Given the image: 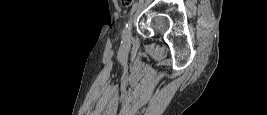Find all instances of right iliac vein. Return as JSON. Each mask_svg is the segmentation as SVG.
I'll use <instances>...</instances> for the list:
<instances>
[{
    "label": "right iliac vein",
    "mask_w": 267,
    "mask_h": 115,
    "mask_svg": "<svg viewBox=\"0 0 267 115\" xmlns=\"http://www.w3.org/2000/svg\"><path fill=\"white\" fill-rule=\"evenodd\" d=\"M134 19H135V17L133 19H131V21L128 24V27L125 30V34L123 35L124 40H128L130 38L131 29H132V22L134 21Z\"/></svg>",
    "instance_id": "63e3f726"
}]
</instances>
